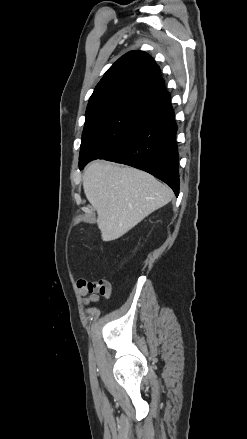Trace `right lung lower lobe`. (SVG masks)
Instances as JSON below:
<instances>
[{
	"label": "right lung lower lobe",
	"instance_id": "right-lung-lower-lobe-1",
	"mask_svg": "<svg viewBox=\"0 0 247 439\" xmlns=\"http://www.w3.org/2000/svg\"><path fill=\"white\" fill-rule=\"evenodd\" d=\"M176 131L174 111L169 103L157 110L125 141L100 159L144 170L168 184L178 196L179 161L175 142Z\"/></svg>",
	"mask_w": 247,
	"mask_h": 439
}]
</instances>
